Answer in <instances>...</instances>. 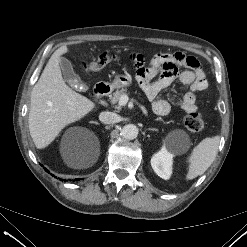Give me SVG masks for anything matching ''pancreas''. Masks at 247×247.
<instances>
[{
  "mask_svg": "<svg viewBox=\"0 0 247 247\" xmlns=\"http://www.w3.org/2000/svg\"><path fill=\"white\" fill-rule=\"evenodd\" d=\"M122 95H128L127 89L116 90L110 97V103L115 105V108L118 110L121 107L117 104L119 103V99Z\"/></svg>",
  "mask_w": 247,
  "mask_h": 247,
  "instance_id": "1",
  "label": "pancreas"
}]
</instances>
